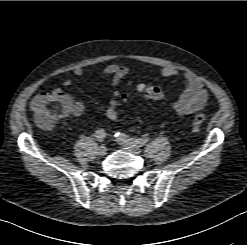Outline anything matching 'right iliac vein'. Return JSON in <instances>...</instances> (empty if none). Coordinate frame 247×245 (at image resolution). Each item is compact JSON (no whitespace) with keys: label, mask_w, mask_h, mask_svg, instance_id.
Masks as SVG:
<instances>
[{"label":"right iliac vein","mask_w":247,"mask_h":245,"mask_svg":"<svg viewBox=\"0 0 247 245\" xmlns=\"http://www.w3.org/2000/svg\"><path fill=\"white\" fill-rule=\"evenodd\" d=\"M107 153V147L102 145L98 148V154L101 155V156H104L106 155Z\"/></svg>","instance_id":"1"}]
</instances>
